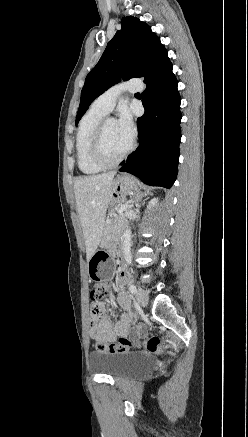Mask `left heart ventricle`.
I'll list each match as a JSON object with an SVG mask.
<instances>
[{
  "instance_id": "1",
  "label": "left heart ventricle",
  "mask_w": 248,
  "mask_h": 437,
  "mask_svg": "<svg viewBox=\"0 0 248 437\" xmlns=\"http://www.w3.org/2000/svg\"><path fill=\"white\" fill-rule=\"evenodd\" d=\"M130 140L125 138L118 129L115 120H110L105 127L103 153L107 159L113 160L121 155L129 146Z\"/></svg>"
}]
</instances>
